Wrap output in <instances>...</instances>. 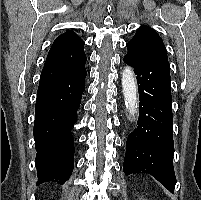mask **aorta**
<instances>
[{
  "label": "aorta",
  "instance_id": "aorta-1",
  "mask_svg": "<svg viewBox=\"0 0 201 200\" xmlns=\"http://www.w3.org/2000/svg\"><path fill=\"white\" fill-rule=\"evenodd\" d=\"M122 88L125 105L133 119L138 113V88L132 68L125 67L122 72Z\"/></svg>",
  "mask_w": 201,
  "mask_h": 200
}]
</instances>
